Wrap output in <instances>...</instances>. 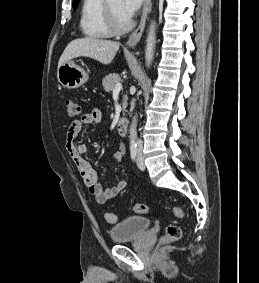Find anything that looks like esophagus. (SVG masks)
<instances>
[{"mask_svg": "<svg viewBox=\"0 0 259 283\" xmlns=\"http://www.w3.org/2000/svg\"><path fill=\"white\" fill-rule=\"evenodd\" d=\"M151 5H152L151 0H144L140 23L136 28V30L130 35L127 41V45L129 47H134L139 42L145 28L148 13L151 10Z\"/></svg>", "mask_w": 259, "mask_h": 283, "instance_id": "1", "label": "esophagus"}]
</instances>
